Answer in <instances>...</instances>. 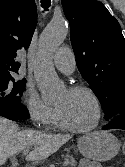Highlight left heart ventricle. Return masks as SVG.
<instances>
[{
    "label": "left heart ventricle",
    "instance_id": "left-heart-ventricle-1",
    "mask_svg": "<svg viewBox=\"0 0 125 167\" xmlns=\"http://www.w3.org/2000/svg\"><path fill=\"white\" fill-rule=\"evenodd\" d=\"M66 120L77 128L90 126L96 118V107L86 93H71L64 91L56 101Z\"/></svg>",
    "mask_w": 125,
    "mask_h": 167
}]
</instances>
